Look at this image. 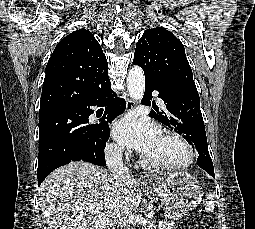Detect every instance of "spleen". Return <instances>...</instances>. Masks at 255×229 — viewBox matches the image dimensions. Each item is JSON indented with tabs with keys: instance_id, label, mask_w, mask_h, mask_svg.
<instances>
[{
	"instance_id": "obj_1",
	"label": "spleen",
	"mask_w": 255,
	"mask_h": 229,
	"mask_svg": "<svg viewBox=\"0 0 255 229\" xmlns=\"http://www.w3.org/2000/svg\"><path fill=\"white\" fill-rule=\"evenodd\" d=\"M205 209L207 212H213L214 211V195L212 193H209L207 195L206 201H205Z\"/></svg>"
}]
</instances>
